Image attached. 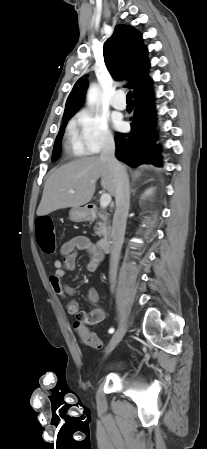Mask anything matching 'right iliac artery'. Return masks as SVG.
Returning a JSON list of instances; mask_svg holds the SVG:
<instances>
[{"label":"right iliac artery","instance_id":"82829eb1","mask_svg":"<svg viewBox=\"0 0 207 449\" xmlns=\"http://www.w3.org/2000/svg\"><path fill=\"white\" fill-rule=\"evenodd\" d=\"M114 332V328L109 329V333L112 334Z\"/></svg>","mask_w":207,"mask_h":449}]
</instances>
